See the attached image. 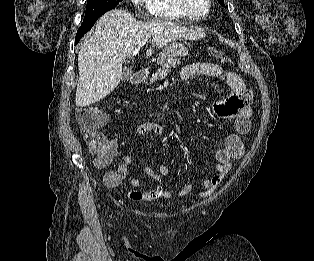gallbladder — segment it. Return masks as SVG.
<instances>
[{
	"mask_svg": "<svg viewBox=\"0 0 314 261\" xmlns=\"http://www.w3.org/2000/svg\"><path fill=\"white\" fill-rule=\"evenodd\" d=\"M132 74H133V72H132L131 68H125L123 70V72H122V79H121V81L124 82V83L129 81L130 78L132 77Z\"/></svg>",
	"mask_w": 314,
	"mask_h": 261,
	"instance_id": "gallbladder-1",
	"label": "gallbladder"
}]
</instances>
